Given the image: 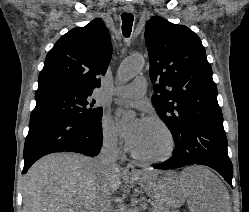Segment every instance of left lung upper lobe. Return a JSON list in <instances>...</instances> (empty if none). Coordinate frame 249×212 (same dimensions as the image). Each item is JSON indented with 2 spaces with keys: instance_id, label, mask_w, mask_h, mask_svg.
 Masks as SVG:
<instances>
[{
  "instance_id": "left-lung-upper-lobe-1",
  "label": "left lung upper lobe",
  "mask_w": 249,
  "mask_h": 212,
  "mask_svg": "<svg viewBox=\"0 0 249 212\" xmlns=\"http://www.w3.org/2000/svg\"><path fill=\"white\" fill-rule=\"evenodd\" d=\"M145 41L156 93L152 104L172 135L178 138L184 124L223 121L212 68L198 35L155 16L146 24Z\"/></svg>"
}]
</instances>
